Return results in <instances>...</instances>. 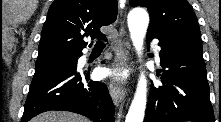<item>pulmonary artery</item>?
Listing matches in <instances>:
<instances>
[{"mask_svg":"<svg viewBox=\"0 0 221 122\" xmlns=\"http://www.w3.org/2000/svg\"><path fill=\"white\" fill-rule=\"evenodd\" d=\"M153 47H154V50H155V53H156V59L159 60L160 59V57H159V47L156 44H154Z\"/></svg>","mask_w":221,"mask_h":122,"instance_id":"obj_1","label":"pulmonary artery"}]
</instances>
